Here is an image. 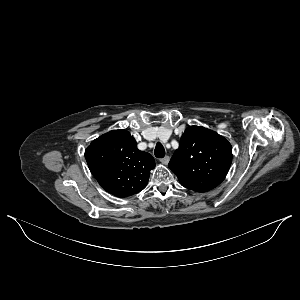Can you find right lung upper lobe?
<instances>
[{
  "instance_id": "1",
  "label": "right lung upper lobe",
  "mask_w": 300,
  "mask_h": 300,
  "mask_svg": "<svg viewBox=\"0 0 300 300\" xmlns=\"http://www.w3.org/2000/svg\"><path fill=\"white\" fill-rule=\"evenodd\" d=\"M85 158L104 190L120 198L143 190L155 167L154 158L138 150L135 139L125 130H113L95 139Z\"/></svg>"
}]
</instances>
